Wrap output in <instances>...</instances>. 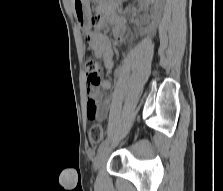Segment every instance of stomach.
<instances>
[{
  "mask_svg": "<svg viewBox=\"0 0 223 191\" xmlns=\"http://www.w3.org/2000/svg\"><path fill=\"white\" fill-rule=\"evenodd\" d=\"M73 12L81 29L87 31L91 27L90 0H72Z\"/></svg>",
  "mask_w": 223,
  "mask_h": 191,
  "instance_id": "stomach-1",
  "label": "stomach"
}]
</instances>
